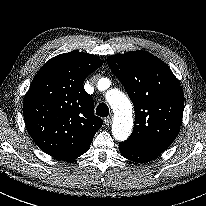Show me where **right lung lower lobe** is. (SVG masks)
<instances>
[{"mask_svg": "<svg viewBox=\"0 0 206 206\" xmlns=\"http://www.w3.org/2000/svg\"><path fill=\"white\" fill-rule=\"evenodd\" d=\"M88 149H86L85 151L81 152L80 154L78 155H75V156H72L71 158L67 159V160H64V161H68V160H72V159H75L77 157H79L80 155L84 154Z\"/></svg>", "mask_w": 206, "mask_h": 206, "instance_id": "1", "label": "right lung lower lobe"}]
</instances>
